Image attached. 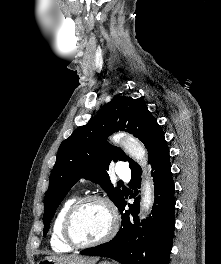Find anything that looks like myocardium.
Returning <instances> with one entry per match:
<instances>
[{
    "label": "myocardium",
    "instance_id": "1",
    "mask_svg": "<svg viewBox=\"0 0 221 264\" xmlns=\"http://www.w3.org/2000/svg\"><path fill=\"white\" fill-rule=\"evenodd\" d=\"M99 203L103 205L109 215H110V227L107 231V233L101 237L100 239L93 241V242H79L73 234V219L75 217V214L77 211L85 204L87 203ZM119 227V216L118 212L115 208V206L107 199L98 195H87L84 197H81L77 199L67 210L63 225H62V234L65 242L70 245L72 248H78V249H85V248H91L95 246L102 245L106 242H108L110 239L114 237Z\"/></svg>",
    "mask_w": 221,
    "mask_h": 264
}]
</instances>
